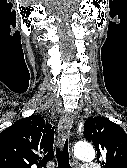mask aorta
<instances>
[{
    "label": "aorta",
    "instance_id": "1",
    "mask_svg": "<svg viewBox=\"0 0 127 168\" xmlns=\"http://www.w3.org/2000/svg\"><path fill=\"white\" fill-rule=\"evenodd\" d=\"M74 154L78 159L92 161L95 158V150L88 142H79L74 147Z\"/></svg>",
    "mask_w": 127,
    "mask_h": 168
}]
</instances>
